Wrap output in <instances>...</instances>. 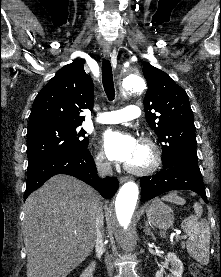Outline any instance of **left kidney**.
Segmentation results:
<instances>
[{
  "label": "left kidney",
  "instance_id": "left-kidney-1",
  "mask_svg": "<svg viewBox=\"0 0 221 277\" xmlns=\"http://www.w3.org/2000/svg\"><path fill=\"white\" fill-rule=\"evenodd\" d=\"M166 265H171V276L170 277H182L183 274V263L178 256L169 252L165 260ZM155 277H163V270H158ZM169 277V276H168Z\"/></svg>",
  "mask_w": 221,
  "mask_h": 277
}]
</instances>
